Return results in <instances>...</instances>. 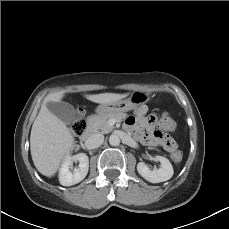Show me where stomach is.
<instances>
[{
  "label": "stomach",
  "mask_w": 229,
  "mask_h": 229,
  "mask_svg": "<svg viewBox=\"0 0 229 229\" xmlns=\"http://www.w3.org/2000/svg\"><path fill=\"white\" fill-rule=\"evenodd\" d=\"M149 98L150 97L148 93L136 91L133 92L128 99L100 104L96 108V113L100 116L125 113L137 108L141 104L148 102Z\"/></svg>",
  "instance_id": "obj_1"
}]
</instances>
